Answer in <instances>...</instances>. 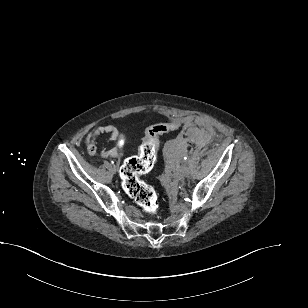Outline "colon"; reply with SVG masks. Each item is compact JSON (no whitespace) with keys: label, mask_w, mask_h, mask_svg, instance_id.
<instances>
[{"label":"colon","mask_w":308,"mask_h":308,"mask_svg":"<svg viewBox=\"0 0 308 308\" xmlns=\"http://www.w3.org/2000/svg\"><path fill=\"white\" fill-rule=\"evenodd\" d=\"M178 127L176 122L159 123L147 128L136 156L127 159L121 167L123 189L147 214L156 215L158 200L156 191L141 176L154 166L159 147V137Z\"/></svg>","instance_id":"1"}]
</instances>
